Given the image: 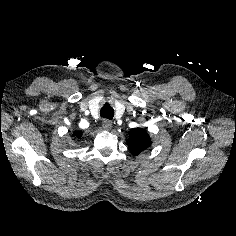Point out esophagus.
Segmentation results:
<instances>
[{
  "instance_id": "34e87169",
  "label": "esophagus",
  "mask_w": 236,
  "mask_h": 236,
  "mask_svg": "<svg viewBox=\"0 0 236 236\" xmlns=\"http://www.w3.org/2000/svg\"><path fill=\"white\" fill-rule=\"evenodd\" d=\"M102 126L105 130H110L112 128V122L110 120H103Z\"/></svg>"
}]
</instances>
